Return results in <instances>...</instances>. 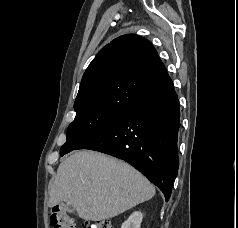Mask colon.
Masks as SVG:
<instances>
[{
	"mask_svg": "<svg viewBox=\"0 0 238 228\" xmlns=\"http://www.w3.org/2000/svg\"><path fill=\"white\" fill-rule=\"evenodd\" d=\"M50 223L52 228H75L74 219L66 207L55 205L50 210ZM84 228H113L110 220H98L86 223Z\"/></svg>",
	"mask_w": 238,
	"mask_h": 228,
	"instance_id": "1",
	"label": "colon"
}]
</instances>
